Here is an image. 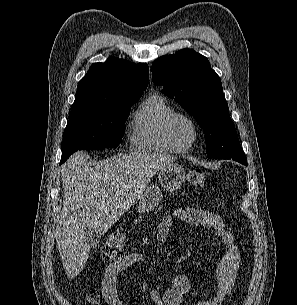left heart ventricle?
Returning a JSON list of instances; mask_svg holds the SVG:
<instances>
[{
	"label": "left heart ventricle",
	"mask_w": 297,
	"mask_h": 305,
	"mask_svg": "<svg viewBox=\"0 0 297 305\" xmlns=\"http://www.w3.org/2000/svg\"><path fill=\"white\" fill-rule=\"evenodd\" d=\"M172 135L178 145L187 146L193 136L192 128L190 124L184 119H177L172 125Z\"/></svg>",
	"instance_id": "left-heart-ventricle-1"
}]
</instances>
